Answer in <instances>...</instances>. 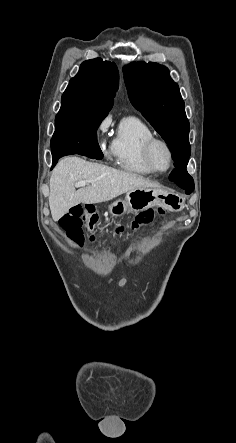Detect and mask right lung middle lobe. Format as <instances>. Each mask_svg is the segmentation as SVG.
I'll list each match as a JSON object with an SVG mask.
<instances>
[{"label":"right lung middle lobe","instance_id":"dd1d6c3e","mask_svg":"<svg viewBox=\"0 0 236 443\" xmlns=\"http://www.w3.org/2000/svg\"><path fill=\"white\" fill-rule=\"evenodd\" d=\"M104 112H77L60 109L55 118L51 148L60 150L74 146L97 145V129L105 118Z\"/></svg>","mask_w":236,"mask_h":443}]
</instances>
